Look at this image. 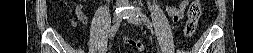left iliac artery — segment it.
<instances>
[{
	"label": "left iliac artery",
	"instance_id": "left-iliac-artery-1",
	"mask_svg": "<svg viewBox=\"0 0 253 53\" xmlns=\"http://www.w3.org/2000/svg\"><path fill=\"white\" fill-rule=\"evenodd\" d=\"M140 16H141V18H142L144 24H145L149 29H151L152 36H154L153 42H156L157 36H155V33H153L152 24H151L149 18H148L145 14H143V13H141Z\"/></svg>",
	"mask_w": 253,
	"mask_h": 53
}]
</instances>
